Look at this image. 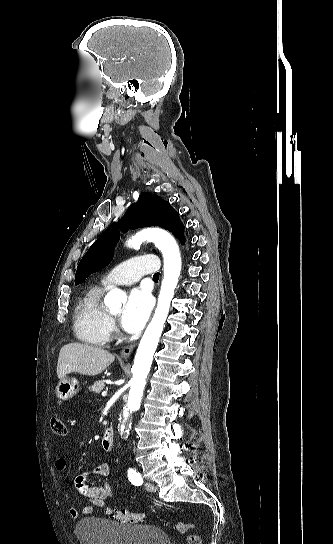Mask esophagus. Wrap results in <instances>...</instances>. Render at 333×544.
<instances>
[{
  "label": "esophagus",
  "mask_w": 333,
  "mask_h": 544,
  "mask_svg": "<svg viewBox=\"0 0 333 544\" xmlns=\"http://www.w3.org/2000/svg\"><path fill=\"white\" fill-rule=\"evenodd\" d=\"M135 346H136V343H133L129 346L124 347L123 350L120 352V357L128 358L133 352Z\"/></svg>",
  "instance_id": "1"
}]
</instances>
